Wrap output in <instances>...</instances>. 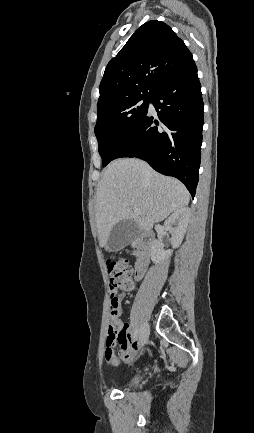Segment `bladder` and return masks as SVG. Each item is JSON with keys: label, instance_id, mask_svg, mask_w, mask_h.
Segmentation results:
<instances>
[{"label": "bladder", "instance_id": "bladder-1", "mask_svg": "<svg viewBox=\"0 0 254 433\" xmlns=\"http://www.w3.org/2000/svg\"><path fill=\"white\" fill-rule=\"evenodd\" d=\"M138 382H139V377L135 376V377L131 378L129 381H127L125 386L134 387L137 385Z\"/></svg>", "mask_w": 254, "mask_h": 433}]
</instances>
